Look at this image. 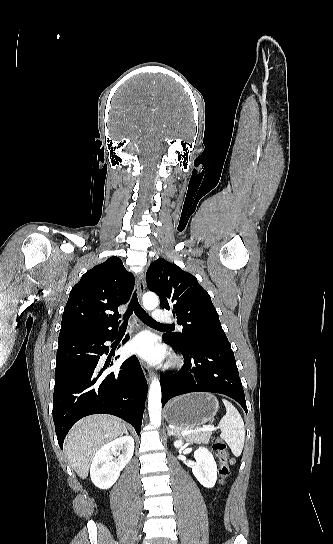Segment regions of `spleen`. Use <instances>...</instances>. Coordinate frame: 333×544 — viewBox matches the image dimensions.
<instances>
[{
    "mask_svg": "<svg viewBox=\"0 0 333 544\" xmlns=\"http://www.w3.org/2000/svg\"><path fill=\"white\" fill-rule=\"evenodd\" d=\"M226 408V414L219 422L221 429L220 437L229 445L232 453L237 457L241 454L244 447L245 427L243 419L228 400H223Z\"/></svg>",
    "mask_w": 333,
    "mask_h": 544,
    "instance_id": "obj_1",
    "label": "spleen"
}]
</instances>
